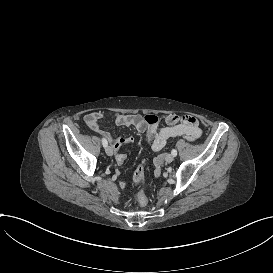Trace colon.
<instances>
[{"mask_svg":"<svg viewBox=\"0 0 273 273\" xmlns=\"http://www.w3.org/2000/svg\"><path fill=\"white\" fill-rule=\"evenodd\" d=\"M144 120L151 127H156V126H158L159 124L162 123V119L156 114H146L144 116ZM134 178H135L136 185H138V186L143 185L144 178H145V171H144L143 168H141V166L135 169ZM139 196H140L141 203L145 204L146 203V200H145V197H144L145 193L140 192Z\"/></svg>","mask_w":273,"mask_h":273,"instance_id":"colon-1","label":"colon"}]
</instances>
